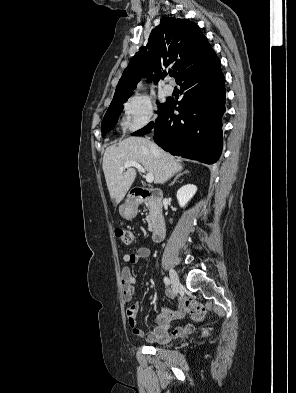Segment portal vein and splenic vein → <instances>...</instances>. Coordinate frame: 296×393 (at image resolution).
Returning <instances> with one entry per match:
<instances>
[{
    "mask_svg": "<svg viewBox=\"0 0 296 393\" xmlns=\"http://www.w3.org/2000/svg\"><path fill=\"white\" fill-rule=\"evenodd\" d=\"M129 167H135L140 171L141 173L146 174L145 179L147 182L151 183L154 181V175L152 173H145V169L136 161H127L124 163V165L121 167V170H124Z\"/></svg>",
    "mask_w": 296,
    "mask_h": 393,
    "instance_id": "obj_1",
    "label": "portal vein and splenic vein"
}]
</instances>
